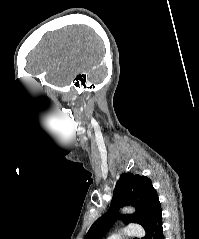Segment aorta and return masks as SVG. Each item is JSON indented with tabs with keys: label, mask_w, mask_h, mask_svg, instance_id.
Returning <instances> with one entry per match:
<instances>
[{
	"label": "aorta",
	"mask_w": 199,
	"mask_h": 239,
	"mask_svg": "<svg viewBox=\"0 0 199 239\" xmlns=\"http://www.w3.org/2000/svg\"><path fill=\"white\" fill-rule=\"evenodd\" d=\"M122 211L125 212V213H132L134 211V209L131 208V207H125V208H123Z\"/></svg>",
	"instance_id": "762f6f07"
}]
</instances>
